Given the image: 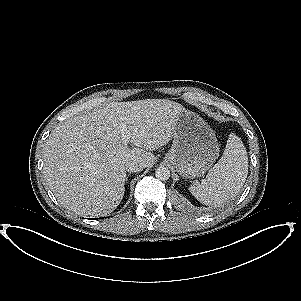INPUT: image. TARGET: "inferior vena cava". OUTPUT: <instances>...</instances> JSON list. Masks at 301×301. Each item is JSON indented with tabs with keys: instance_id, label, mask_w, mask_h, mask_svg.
<instances>
[{
	"instance_id": "602c4592",
	"label": "inferior vena cava",
	"mask_w": 301,
	"mask_h": 301,
	"mask_svg": "<svg viewBox=\"0 0 301 301\" xmlns=\"http://www.w3.org/2000/svg\"><path fill=\"white\" fill-rule=\"evenodd\" d=\"M143 168L144 165L137 162H129L126 164V169L130 172H139L142 171Z\"/></svg>"
}]
</instances>
